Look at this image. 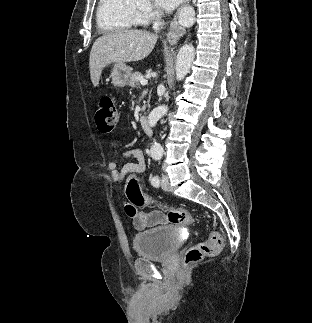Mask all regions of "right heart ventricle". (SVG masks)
<instances>
[{"instance_id":"obj_1","label":"right heart ventricle","mask_w":312,"mask_h":323,"mask_svg":"<svg viewBox=\"0 0 312 323\" xmlns=\"http://www.w3.org/2000/svg\"><path fill=\"white\" fill-rule=\"evenodd\" d=\"M93 18L98 29H130V25H141L145 13L132 9L124 0H98Z\"/></svg>"}]
</instances>
